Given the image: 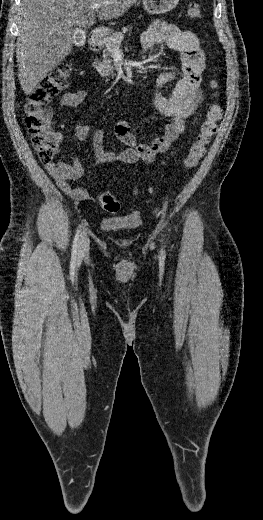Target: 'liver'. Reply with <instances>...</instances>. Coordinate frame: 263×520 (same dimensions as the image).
I'll return each instance as SVG.
<instances>
[{
  "instance_id": "1",
  "label": "liver",
  "mask_w": 263,
  "mask_h": 520,
  "mask_svg": "<svg viewBox=\"0 0 263 520\" xmlns=\"http://www.w3.org/2000/svg\"><path fill=\"white\" fill-rule=\"evenodd\" d=\"M137 0H23L16 44L18 78L26 95L72 51L73 26L90 28L121 17ZM101 3L97 10L93 5Z\"/></svg>"
}]
</instances>
